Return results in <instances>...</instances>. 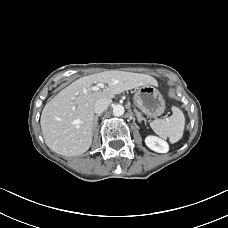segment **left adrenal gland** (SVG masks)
<instances>
[{"label": "left adrenal gland", "instance_id": "a2214340", "mask_svg": "<svg viewBox=\"0 0 228 228\" xmlns=\"http://www.w3.org/2000/svg\"><path fill=\"white\" fill-rule=\"evenodd\" d=\"M135 113L137 114V119L139 122L144 121L146 123V119L137 111H135Z\"/></svg>", "mask_w": 228, "mask_h": 228}]
</instances>
